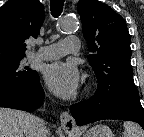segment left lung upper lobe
Returning a JSON list of instances; mask_svg holds the SVG:
<instances>
[{
  "label": "left lung upper lobe",
  "mask_w": 144,
  "mask_h": 137,
  "mask_svg": "<svg viewBox=\"0 0 144 137\" xmlns=\"http://www.w3.org/2000/svg\"><path fill=\"white\" fill-rule=\"evenodd\" d=\"M88 56L97 80L96 93L111 97L137 90L130 65V35L126 22L108 5L97 0H80L77 6Z\"/></svg>",
  "instance_id": "5c2ea615"
}]
</instances>
